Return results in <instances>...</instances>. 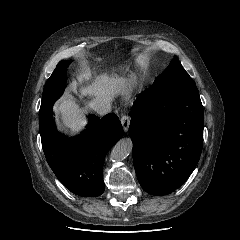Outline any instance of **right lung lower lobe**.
I'll list each match as a JSON object with an SVG mask.
<instances>
[{
    "label": "right lung lower lobe",
    "instance_id": "obj_1",
    "mask_svg": "<svg viewBox=\"0 0 240 240\" xmlns=\"http://www.w3.org/2000/svg\"><path fill=\"white\" fill-rule=\"evenodd\" d=\"M88 118L83 133L68 138L57 131L51 109L39 119V129L46 160L58 180L76 195L97 197L105 188V156L122 137L123 128L116 114L102 119L90 114Z\"/></svg>",
    "mask_w": 240,
    "mask_h": 240
}]
</instances>
